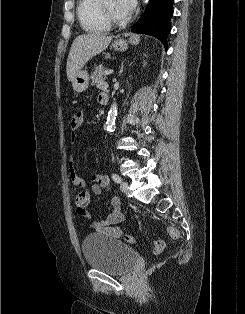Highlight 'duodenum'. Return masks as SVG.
Returning a JSON list of instances; mask_svg holds the SVG:
<instances>
[{"label": "duodenum", "mask_w": 245, "mask_h": 314, "mask_svg": "<svg viewBox=\"0 0 245 314\" xmlns=\"http://www.w3.org/2000/svg\"><path fill=\"white\" fill-rule=\"evenodd\" d=\"M100 99H101L102 103L105 104L108 101V95L106 93H102L100 95Z\"/></svg>", "instance_id": "obj_1"}]
</instances>
